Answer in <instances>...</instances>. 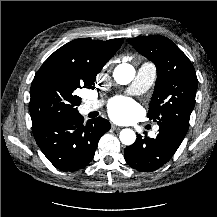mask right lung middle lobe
Instances as JSON below:
<instances>
[{"label": "right lung middle lobe", "instance_id": "right-lung-middle-lobe-1", "mask_svg": "<svg viewBox=\"0 0 217 217\" xmlns=\"http://www.w3.org/2000/svg\"><path fill=\"white\" fill-rule=\"evenodd\" d=\"M94 83L81 81L57 69L38 71L31 84L29 110L32 124L78 113L81 98L76 90L94 88Z\"/></svg>", "mask_w": 217, "mask_h": 217}]
</instances>
